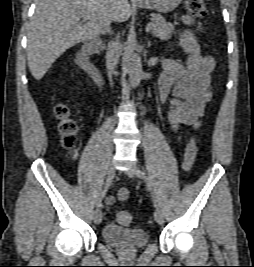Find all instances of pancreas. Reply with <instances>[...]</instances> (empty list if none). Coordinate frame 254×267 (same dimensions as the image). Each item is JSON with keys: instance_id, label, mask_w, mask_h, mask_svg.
I'll return each mask as SVG.
<instances>
[{"instance_id": "cf45deb5", "label": "pancreas", "mask_w": 254, "mask_h": 267, "mask_svg": "<svg viewBox=\"0 0 254 267\" xmlns=\"http://www.w3.org/2000/svg\"><path fill=\"white\" fill-rule=\"evenodd\" d=\"M152 34L161 40H168L174 32V25L166 20L160 14L151 15Z\"/></svg>"}]
</instances>
